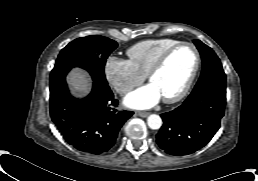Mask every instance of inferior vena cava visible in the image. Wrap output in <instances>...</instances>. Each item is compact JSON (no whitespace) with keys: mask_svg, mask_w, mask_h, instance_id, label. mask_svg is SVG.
I'll return each instance as SVG.
<instances>
[{"mask_svg":"<svg viewBox=\"0 0 258 181\" xmlns=\"http://www.w3.org/2000/svg\"><path fill=\"white\" fill-rule=\"evenodd\" d=\"M119 93H127L128 91H130V88L129 87H126V86H122L120 88H118L117 90Z\"/></svg>","mask_w":258,"mask_h":181,"instance_id":"602c4592","label":"inferior vena cava"}]
</instances>
